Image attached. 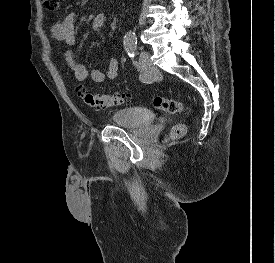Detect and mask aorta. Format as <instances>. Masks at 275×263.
Segmentation results:
<instances>
[{
  "mask_svg": "<svg viewBox=\"0 0 275 263\" xmlns=\"http://www.w3.org/2000/svg\"><path fill=\"white\" fill-rule=\"evenodd\" d=\"M128 37H132V35H131V34H129V35H128Z\"/></svg>",
  "mask_w": 275,
  "mask_h": 263,
  "instance_id": "obj_1",
  "label": "aorta"
}]
</instances>
